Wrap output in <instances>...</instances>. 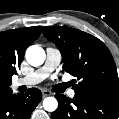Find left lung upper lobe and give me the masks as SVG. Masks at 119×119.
Returning a JSON list of instances; mask_svg holds the SVG:
<instances>
[{"label":"left lung upper lobe","mask_w":119,"mask_h":119,"mask_svg":"<svg viewBox=\"0 0 119 119\" xmlns=\"http://www.w3.org/2000/svg\"><path fill=\"white\" fill-rule=\"evenodd\" d=\"M43 33L60 50L64 71L79 81L73 86L76 93L119 98L116 65L109 49L101 40L65 26L43 27Z\"/></svg>","instance_id":"1"}]
</instances>
